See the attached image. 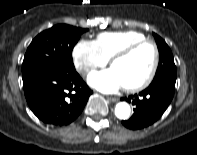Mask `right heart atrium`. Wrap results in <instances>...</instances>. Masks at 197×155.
<instances>
[{
	"label": "right heart atrium",
	"instance_id": "right-heart-atrium-1",
	"mask_svg": "<svg viewBox=\"0 0 197 155\" xmlns=\"http://www.w3.org/2000/svg\"><path fill=\"white\" fill-rule=\"evenodd\" d=\"M72 56L76 70L83 76L108 63V58L94 40H79L73 48Z\"/></svg>",
	"mask_w": 197,
	"mask_h": 155
}]
</instances>
